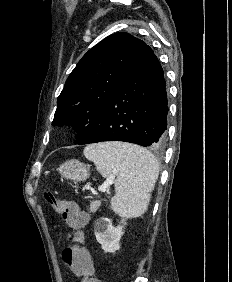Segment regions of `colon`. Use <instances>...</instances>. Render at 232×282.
I'll return each mask as SVG.
<instances>
[{"mask_svg":"<svg viewBox=\"0 0 232 282\" xmlns=\"http://www.w3.org/2000/svg\"><path fill=\"white\" fill-rule=\"evenodd\" d=\"M48 204L58 212L72 229L69 235L71 245L63 250L62 258L72 271L83 277L82 282H101L92 275L93 267L88 251L81 246L83 242L82 229L87 223V216L81 212L73 201H63L57 197L55 191L45 192Z\"/></svg>","mask_w":232,"mask_h":282,"instance_id":"1","label":"colon"}]
</instances>
